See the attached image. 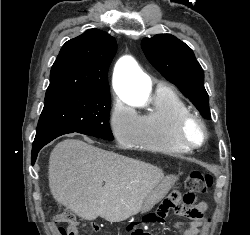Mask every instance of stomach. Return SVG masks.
<instances>
[{
  "label": "stomach",
  "mask_w": 250,
  "mask_h": 235,
  "mask_svg": "<svg viewBox=\"0 0 250 235\" xmlns=\"http://www.w3.org/2000/svg\"><path fill=\"white\" fill-rule=\"evenodd\" d=\"M177 178L168 176L164 178L146 197L143 202L141 212L145 213L151 210L158 202H160L173 187Z\"/></svg>",
  "instance_id": "0dacf381"
}]
</instances>
